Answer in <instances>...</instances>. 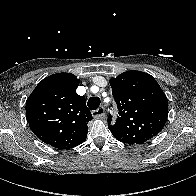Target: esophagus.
Listing matches in <instances>:
<instances>
[{
    "mask_svg": "<svg viewBox=\"0 0 196 196\" xmlns=\"http://www.w3.org/2000/svg\"><path fill=\"white\" fill-rule=\"evenodd\" d=\"M92 115L94 118H103L105 116L104 107H99L97 110L92 111Z\"/></svg>",
    "mask_w": 196,
    "mask_h": 196,
    "instance_id": "34e87169",
    "label": "esophagus"
}]
</instances>
